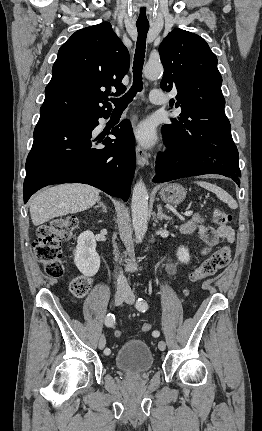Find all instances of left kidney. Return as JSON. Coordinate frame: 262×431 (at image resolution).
Here are the masks:
<instances>
[{"label": "left kidney", "mask_w": 262, "mask_h": 431, "mask_svg": "<svg viewBox=\"0 0 262 431\" xmlns=\"http://www.w3.org/2000/svg\"><path fill=\"white\" fill-rule=\"evenodd\" d=\"M177 255L180 262L188 263L190 260L188 249L184 246L179 248Z\"/></svg>", "instance_id": "1"}]
</instances>
